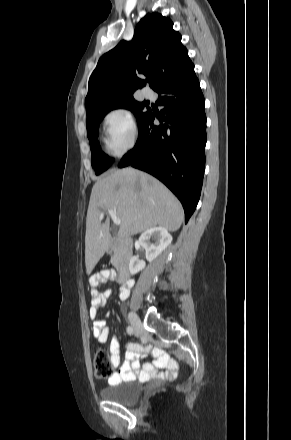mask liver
Listing matches in <instances>:
<instances>
[{"instance_id":"6515ba94","label":"liver","mask_w":291,"mask_h":440,"mask_svg":"<svg viewBox=\"0 0 291 440\" xmlns=\"http://www.w3.org/2000/svg\"><path fill=\"white\" fill-rule=\"evenodd\" d=\"M99 208L113 209L121 220L118 237L129 238L161 226L180 228L181 203L159 180L142 171L125 168L109 173L93 185L86 218L85 264L90 274L109 246L107 218L101 224Z\"/></svg>"}]
</instances>
